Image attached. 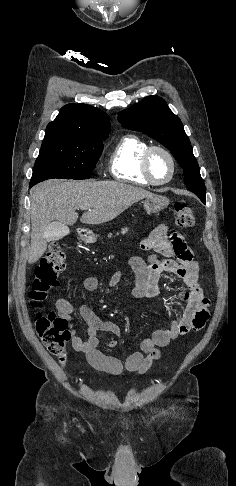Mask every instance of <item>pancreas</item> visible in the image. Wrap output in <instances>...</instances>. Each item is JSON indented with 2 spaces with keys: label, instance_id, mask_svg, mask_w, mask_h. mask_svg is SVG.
Instances as JSON below:
<instances>
[{
  "label": "pancreas",
  "instance_id": "pancreas-1",
  "mask_svg": "<svg viewBox=\"0 0 236 486\" xmlns=\"http://www.w3.org/2000/svg\"><path fill=\"white\" fill-rule=\"evenodd\" d=\"M127 232H128V229H127V228H123V229L121 230V234H123V235H124V234H126ZM111 236H112V234H109V235H108V237H109V238H111Z\"/></svg>",
  "mask_w": 236,
  "mask_h": 486
}]
</instances>
